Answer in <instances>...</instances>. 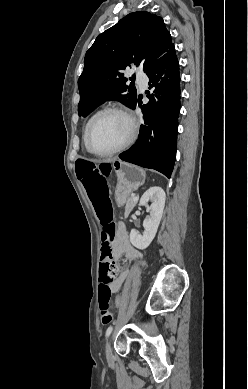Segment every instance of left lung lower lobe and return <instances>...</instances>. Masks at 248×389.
<instances>
[{
  "label": "left lung lower lobe",
  "mask_w": 248,
  "mask_h": 389,
  "mask_svg": "<svg viewBox=\"0 0 248 389\" xmlns=\"http://www.w3.org/2000/svg\"><path fill=\"white\" fill-rule=\"evenodd\" d=\"M149 102L143 106L144 124L136 143L119 158L144 168L155 169L170 178L176 159L180 111L179 63L172 45L146 72ZM149 94V91L146 92ZM136 103L131 107L136 108Z\"/></svg>",
  "instance_id": "1"
}]
</instances>
